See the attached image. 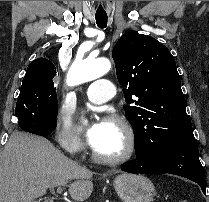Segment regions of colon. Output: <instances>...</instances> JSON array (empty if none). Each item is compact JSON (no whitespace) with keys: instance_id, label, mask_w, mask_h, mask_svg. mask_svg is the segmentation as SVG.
<instances>
[{"instance_id":"colon-1","label":"colon","mask_w":209,"mask_h":202,"mask_svg":"<svg viewBox=\"0 0 209 202\" xmlns=\"http://www.w3.org/2000/svg\"><path fill=\"white\" fill-rule=\"evenodd\" d=\"M180 202H190V201H188V200H181Z\"/></svg>"}]
</instances>
